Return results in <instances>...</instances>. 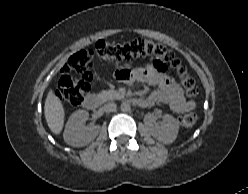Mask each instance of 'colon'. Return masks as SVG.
Segmentation results:
<instances>
[{"label":"colon","mask_w":248,"mask_h":194,"mask_svg":"<svg viewBox=\"0 0 248 194\" xmlns=\"http://www.w3.org/2000/svg\"><path fill=\"white\" fill-rule=\"evenodd\" d=\"M146 56L155 58L156 63L168 64L177 72L186 95L189 98L198 96L199 90L195 80L186 72L170 50L159 42L137 39L127 42L99 40L93 48L74 53L61 70V77L56 89L57 97L61 102L70 106L80 105L94 79L92 60L95 57L109 61H125ZM117 77L126 80L128 78L127 70L118 71ZM179 120L183 127L191 128L197 121V115L194 112H186L180 116Z\"/></svg>","instance_id":"1"}]
</instances>
